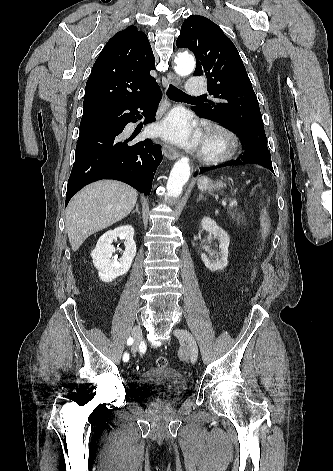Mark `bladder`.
Here are the masks:
<instances>
[{
  "label": "bladder",
  "instance_id": "1",
  "mask_svg": "<svg viewBox=\"0 0 333 471\" xmlns=\"http://www.w3.org/2000/svg\"><path fill=\"white\" fill-rule=\"evenodd\" d=\"M187 390V380L172 367H152L140 374L134 384L138 398L155 403L171 404Z\"/></svg>",
  "mask_w": 333,
  "mask_h": 471
}]
</instances>
